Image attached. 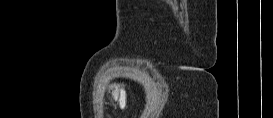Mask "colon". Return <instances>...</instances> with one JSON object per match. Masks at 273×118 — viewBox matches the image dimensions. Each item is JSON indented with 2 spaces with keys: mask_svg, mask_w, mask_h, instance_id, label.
<instances>
[{
  "mask_svg": "<svg viewBox=\"0 0 273 118\" xmlns=\"http://www.w3.org/2000/svg\"><path fill=\"white\" fill-rule=\"evenodd\" d=\"M111 97L118 102L122 107L126 105V92L123 87L113 85L111 87Z\"/></svg>",
  "mask_w": 273,
  "mask_h": 118,
  "instance_id": "1",
  "label": "colon"
}]
</instances>
